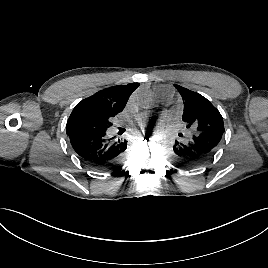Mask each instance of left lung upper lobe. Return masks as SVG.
Listing matches in <instances>:
<instances>
[{
  "label": "left lung upper lobe",
  "instance_id": "5c2ea615",
  "mask_svg": "<svg viewBox=\"0 0 268 268\" xmlns=\"http://www.w3.org/2000/svg\"><path fill=\"white\" fill-rule=\"evenodd\" d=\"M182 96L184 112L182 120L194 133L205 131L224 132L223 118L209 100L199 93L174 85Z\"/></svg>",
  "mask_w": 268,
  "mask_h": 268
}]
</instances>
